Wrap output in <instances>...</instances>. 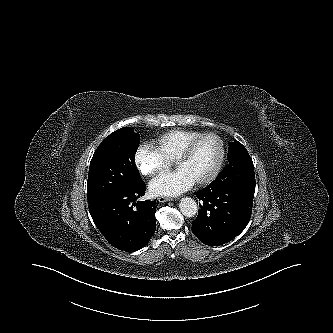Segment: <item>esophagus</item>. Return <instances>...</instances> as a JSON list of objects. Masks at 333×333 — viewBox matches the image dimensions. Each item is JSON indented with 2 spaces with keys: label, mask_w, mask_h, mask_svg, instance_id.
<instances>
[{
  "label": "esophagus",
  "mask_w": 333,
  "mask_h": 333,
  "mask_svg": "<svg viewBox=\"0 0 333 333\" xmlns=\"http://www.w3.org/2000/svg\"><path fill=\"white\" fill-rule=\"evenodd\" d=\"M171 200H172L171 197H165V196H160V197L158 198V201L161 202V203H163V202H167V201H171Z\"/></svg>",
  "instance_id": "1"
}]
</instances>
